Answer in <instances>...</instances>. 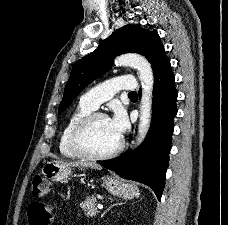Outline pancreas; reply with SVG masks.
Returning a JSON list of instances; mask_svg holds the SVG:
<instances>
[{"label":"pancreas","instance_id":"obj_1","mask_svg":"<svg viewBox=\"0 0 228 225\" xmlns=\"http://www.w3.org/2000/svg\"><path fill=\"white\" fill-rule=\"evenodd\" d=\"M95 203H97L96 197H87L84 203H80V207L86 217H95L96 213H98L97 209H95Z\"/></svg>","mask_w":228,"mask_h":225}]
</instances>
